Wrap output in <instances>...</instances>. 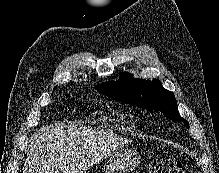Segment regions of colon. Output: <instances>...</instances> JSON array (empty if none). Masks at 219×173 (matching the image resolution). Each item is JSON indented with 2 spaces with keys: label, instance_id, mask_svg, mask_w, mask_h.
<instances>
[{
  "label": "colon",
  "instance_id": "5ec220e1",
  "mask_svg": "<svg viewBox=\"0 0 219 173\" xmlns=\"http://www.w3.org/2000/svg\"><path fill=\"white\" fill-rule=\"evenodd\" d=\"M148 173H185L183 165L175 159H160L153 161Z\"/></svg>",
  "mask_w": 219,
  "mask_h": 173
}]
</instances>
